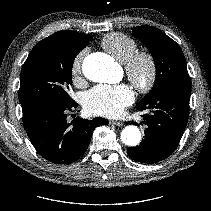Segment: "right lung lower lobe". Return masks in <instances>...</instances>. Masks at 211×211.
<instances>
[{
	"mask_svg": "<svg viewBox=\"0 0 211 211\" xmlns=\"http://www.w3.org/2000/svg\"><path fill=\"white\" fill-rule=\"evenodd\" d=\"M71 104L40 103L23 111L25 130L37 152L55 164L78 160L88 148L93 130L108 121L101 117L92 120L75 118L68 123L67 113L77 108Z\"/></svg>",
	"mask_w": 211,
	"mask_h": 211,
	"instance_id": "obj_1",
	"label": "right lung lower lobe"
}]
</instances>
